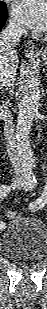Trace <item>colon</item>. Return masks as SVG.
<instances>
[{
    "mask_svg": "<svg viewBox=\"0 0 47 309\" xmlns=\"http://www.w3.org/2000/svg\"><path fill=\"white\" fill-rule=\"evenodd\" d=\"M7 216L10 219H14V218H16L18 216V214L16 212H13V211H8L7 212Z\"/></svg>",
    "mask_w": 47,
    "mask_h": 309,
    "instance_id": "1",
    "label": "colon"
}]
</instances>
